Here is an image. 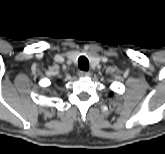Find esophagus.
I'll list each match as a JSON object with an SVG mask.
<instances>
[{
	"mask_svg": "<svg viewBox=\"0 0 165 154\" xmlns=\"http://www.w3.org/2000/svg\"><path fill=\"white\" fill-rule=\"evenodd\" d=\"M78 75L80 77H89L90 76V73L87 72V71L80 70V71H78Z\"/></svg>",
	"mask_w": 165,
	"mask_h": 154,
	"instance_id": "obj_1",
	"label": "esophagus"
}]
</instances>
